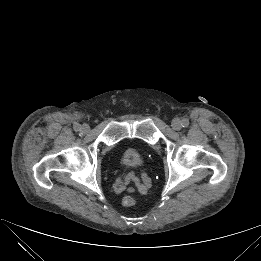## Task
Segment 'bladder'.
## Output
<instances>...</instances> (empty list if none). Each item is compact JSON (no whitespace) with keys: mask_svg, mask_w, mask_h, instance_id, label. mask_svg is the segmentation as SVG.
Returning <instances> with one entry per match:
<instances>
[{"mask_svg":"<svg viewBox=\"0 0 261 261\" xmlns=\"http://www.w3.org/2000/svg\"><path fill=\"white\" fill-rule=\"evenodd\" d=\"M143 158V152L138 149L129 148L125 150L123 164L128 168H136Z\"/></svg>","mask_w":261,"mask_h":261,"instance_id":"1","label":"bladder"}]
</instances>
